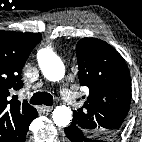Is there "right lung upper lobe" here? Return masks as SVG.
<instances>
[{
    "mask_svg": "<svg viewBox=\"0 0 142 142\" xmlns=\"http://www.w3.org/2000/svg\"><path fill=\"white\" fill-rule=\"evenodd\" d=\"M40 41V33L0 30V142H22L38 116L26 100L20 102L9 96L12 89L22 87V68Z\"/></svg>",
    "mask_w": 142,
    "mask_h": 142,
    "instance_id": "right-lung-upper-lobe-1",
    "label": "right lung upper lobe"
}]
</instances>
